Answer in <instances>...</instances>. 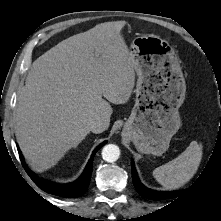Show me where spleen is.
I'll return each instance as SVG.
<instances>
[{
  "label": "spleen",
  "mask_w": 221,
  "mask_h": 221,
  "mask_svg": "<svg viewBox=\"0 0 221 221\" xmlns=\"http://www.w3.org/2000/svg\"><path fill=\"white\" fill-rule=\"evenodd\" d=\"M202 154V146L197 141H192L178 157L155 168L153 176L168 190L179 188L197 172Z\"/></svg>",
  "instance_id": "3e777b00"
}]
</instances>
